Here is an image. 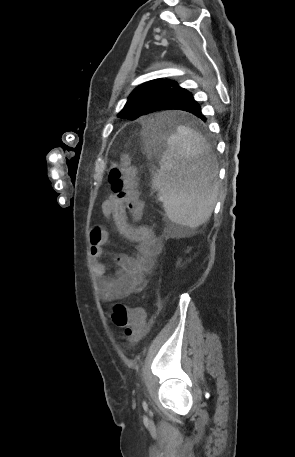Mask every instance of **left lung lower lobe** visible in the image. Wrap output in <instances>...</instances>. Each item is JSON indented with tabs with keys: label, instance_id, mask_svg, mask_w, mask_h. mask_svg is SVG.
Listing matches in <instances>:
<instances>
[{
	"label": "left lung lower lobe",
	"instance_id": "obj_1",
	"mask_svg": "<svg viewBox=\"0 0 295 457\" xmlns=\"http://www.w3.org/2000/svg\"><path fill=\"white\" fill-rule=\"evenodd\" d=\"M166 109L184 110L206 121V118L201 113L200 105L187 90H183L162 100L153 108L152 112ZM167 129L168 125L166 123H157L150 128L151 132L157 135L165 132Z\"/></svg>",
	"mask_w": 295,
	"mask_h": 457
}]
</instances>
